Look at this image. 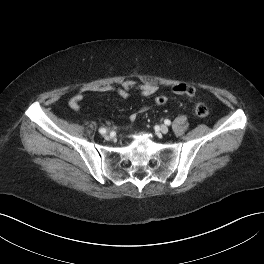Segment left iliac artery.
Segmentation results:
<instances>
[{"mask_svg":"<svg viewBox=\"0 0 264 264\" xmlns=\"http://www.w3.org/2000/svg\"><path fill=\"white\" fill-rule=\"evenodd\" d=\"M164 123H165L166 125H170V124H171V121L168 120V119H166V120L164 121Z\"/></svg>","mask_w":264,"mask_h":264,"instance_id":"44dca946","label":"left iliac artery"}]
</instances>
